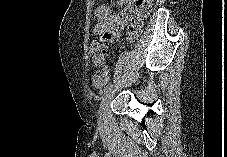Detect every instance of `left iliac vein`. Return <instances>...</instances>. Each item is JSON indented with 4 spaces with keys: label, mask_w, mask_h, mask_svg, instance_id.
Instances as JSON below:
<instances>
[{
    "label": "left iliac vein",
    "mask_w": 227,
    "mask_h": 157,
    "mask_svg": "<svg viewBox=\"0 0 227 157\" xmlns=\"http://www.w3.org/2000/svg\"><path fill=\"white\" fill-rule=\"evenodd\" d=\"M112 96H113V94L110 91L104 95V97L101 101L100 108L98 110V120L101 123L104 122L106 119L108 105H109V102H110Z\"/></svg>",
    "instance_id": "left-iliac-vein-1"
}]
</instances>
